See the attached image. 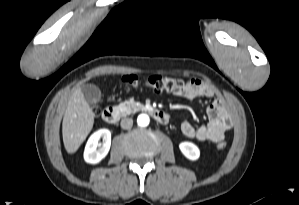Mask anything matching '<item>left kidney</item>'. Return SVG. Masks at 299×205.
Returning <instances> with one entry per match:
<instances>
[{
	"mask_svg": "<svg viewBox=\"0 0 299 205\" xmlns=\"http://www.w3.org/2000/svg\"><path fill=\"white\" fill-rule=\"evenodd\" d=\"M182 154L189 160H197L200 156L199 148L192 142H182L179 144Z\"/></svg>",
	"mask_w": 299,
	"mask_h": 205,
	"instance_id": "obj_1",
	"label": "left kidney"
}]
</instances>
